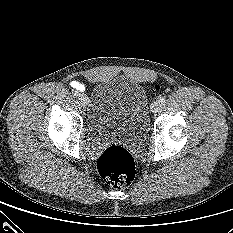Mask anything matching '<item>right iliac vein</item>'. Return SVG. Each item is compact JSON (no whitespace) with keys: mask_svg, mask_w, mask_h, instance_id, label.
<instances>
[{"mask_svg":"<svg viewBox=\"0 0 233 233\" xmlns=\"http://www.w3.org/2000/svg\"><path fill=\"white\" fill-rule=\"evenodd\" d=\"M79 101L83 106H85V105L88 104V97L86 95H84V94H81L79 96Z\"/></svg>","mask_w":233,"mask_h":233,"instance_id":"63e3f726","label":"right iliac vein"}]
</instances>
